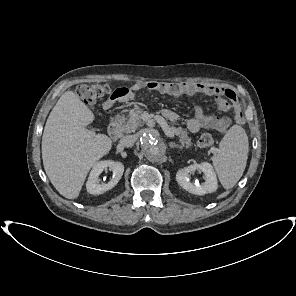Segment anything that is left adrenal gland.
Here are the masks:
<instances>
[{"instance_id":"1","label":"left adrenal gland","mask_w":296,"mask_h":296,"mask_svg":"<svg viewBox=\"0 0 296 296\" xmlns=\"http://www.w3.org/2000/svg\"><path fill=\"white\" fill-rule=\"evenodd\" d=\"M169 147L170 148H180V149H182L183 148V146L182 145H178V144H176V143H174V142H170L169 143Z\"/></svg>"}]
</instances>
